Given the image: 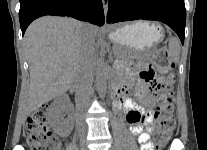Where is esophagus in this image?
Listing matches in <instances>:
<instances>
[{
	"mask_svg": "<svg viewBox=\"0 0 207 150\" xmlns=\"http://www.w3.org/2000/svg\"><path fill=\"white\" fill-rule=\"evenodd\" d=\"M102 4H103V9H104V14H105V17H106L107 16V12H108L109 0H102Z\"/></svg>",
	"mask_w": 207,
	"mask_h": 150,
	"instance_id": "obj_1",
	"label": "esophagus"
}]
</instances>
